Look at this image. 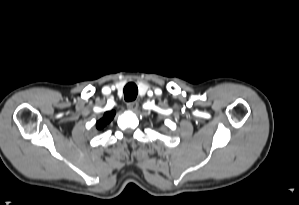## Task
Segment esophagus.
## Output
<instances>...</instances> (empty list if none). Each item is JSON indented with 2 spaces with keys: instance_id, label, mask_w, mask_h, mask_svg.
Instances as JSON below:
<instances>
[{
  "instance_id": "obj_1",
  "label": "esophagus",
  "mask_w": 299,
  "mask_h": 205,
  "mask_svg": "<svg viewBox=\"0 0 299 205\" xmlns=\"http://www.w3.org/2000/svg\"><path fill=\"white\" fill-rule=\"evenodd\" d=\"M139 104L137 101H131L127 103V109L130 111H136L138 108Z\"/></svg>"
}]
</instances>
